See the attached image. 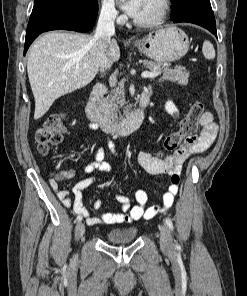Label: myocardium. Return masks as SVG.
<instances>
[{"label": "myocardium", "mask_w": 247, "mask_h": 296, "mask_svg": "<svg viewBox=\"0 0 247 296\" xmlns=\"http://www.w3.org/2000/svg\"><path fill=\"white\" fill-rule=\"evenodd\" d=\"M159 11L155 17L148 21H140L136 18L133 19V23L141 28H153L160 25L167 17L170 10L169 0H159Z\"/></svg>", "instance_id": "myocardium-1"}]
</instances>
